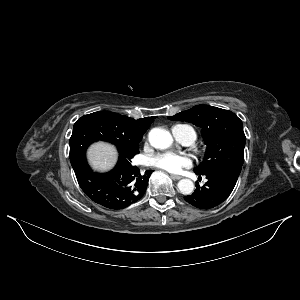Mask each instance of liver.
I'll list each match as a JSON object with an SVG mask.
<instances>
[{
  "label": "liver",
  "mask_w": 300,
  "mask_h": 300,
  "mask_svg": "<svg viewBox=\"0 0 300 300\" xmlns=\"http://www.w3.org/2000/svg\"><path fill=\"white\" fill-rule=\"evenodd\" d=\"M87 158L94 170L105 172L115 165L117 153L111 145L96 143L88 150Z\"/></svg>",
  "instance_id": "1"
}]
</instances>
